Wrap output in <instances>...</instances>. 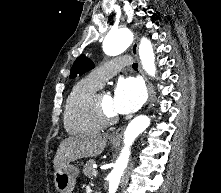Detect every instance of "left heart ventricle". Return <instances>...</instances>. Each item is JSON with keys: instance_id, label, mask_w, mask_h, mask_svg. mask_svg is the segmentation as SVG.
<instances>
[{"instance_id": "1", "label": "left heart ventricle", "mask_w": 221, "mask_h": 193, "mask_svg": "<svg viewBox=\"0 0 221 193\" xmlns=\"http://www.w3.org/2000/svg\"><path fill=\"white\" fill-rule=\"evenodd\" d=\"M102 104L108 112L116 113L113 107V95L109 91L103 93Z\"/></svg>"}]
</instances>
